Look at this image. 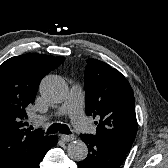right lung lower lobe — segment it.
I'll list each match as a JSON object with an SVG mask.
<instances>
[{"mask_svg":"<svg viewBox=\"0 0 168 168\" xmlns=\"http://www.w3.org/2000/svg\"><path fill=\"white\" fill-rule=\"evenodd\" d=\"M58 139L56 136H52V139L50 143L48 144L47 148L39 154L34 160H32L30 163H28L24 168H39V163L44 158L45 154L48 152V150L51 147H54L57 143Z\"/></svg>","mask_w":168,"mask_h":168,"instance_id":"right-lung-lower-lobe-1","label":"right lung lower lobe"}]
</instances>
